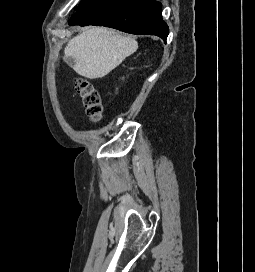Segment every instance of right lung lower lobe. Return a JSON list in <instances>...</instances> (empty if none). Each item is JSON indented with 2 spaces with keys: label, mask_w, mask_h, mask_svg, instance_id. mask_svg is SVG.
<instances>
[{
  "label": "right lung lower lobe",
  "mask_w": 255,
  "mask_h": 272,
  "mask_svg": "<svg viewBox=\"0 0 255 272\" xmlns=\"http://www.w3.org/2000/svg\"><path fill=\"white\" fill-rule=\"evenodd\" d=\"M155 0H91L69 20V25L107 26L137 35H156L164 41L169 33Z\"/></svg>",
  "instance_id": "98d812e1"
}]
</instances>
